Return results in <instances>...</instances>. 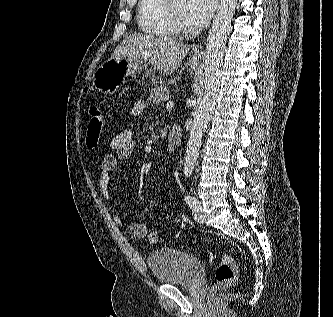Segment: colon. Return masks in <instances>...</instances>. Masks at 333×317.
<instances>
[{"mask_svg": "<svg viewBox=\"0 0 333 317\" xmlns=\"http://www.w3.org/2000/svg\"><path fill=\"white\" fill-rule=\"evenodd\" d=\"M104 126L103 110L96 105L90 106L87 115L86 144L89 148H95L101 139ZM149 241L153 244L158 241V233L153 230L149 234ZM220 257L219 265L215 270L216 288L230 287L236 280V266L232 257L222 250H217Z\"/></svg>", "mask_w": 333, "mask_h": 317, "instance_id": "colon-1", "label": "colon"}]
</instances>
